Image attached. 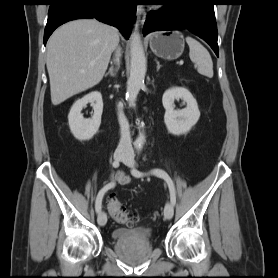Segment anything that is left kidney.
Wrapping results in <instances>:
<instances>
[{"instance_id":"left-kidney-1","label":"left kidney","mask_w":278,"mask_h":278,"mask_svg":"<svg viewBox=\"0 0 278 278\" xmlns=\"http://www.w3.org/2000/svg\"><path fill=\"white\" fill-rule=\"evenodd\" d=\"M182 99L186 102V108L175 110L174 101ZM165 108L164 122L167 130L173 135H181L189 132L197 123L200 111L196 99L183 87H172L166 90L162 97Z\"/></svg>"}]
</instances>
